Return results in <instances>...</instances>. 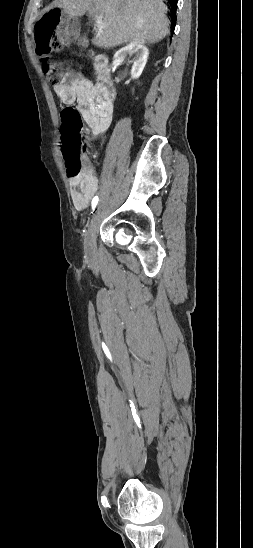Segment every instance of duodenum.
Listing matches in <instances>:
<instances>
[{
    "instance_id": "1",
    "label": "duodenum",
    "mask_w": 253,
    "mask_h": 548,
    "mask_svg": "<svg viewBox=\"0 0 253 548\" xmlns=\"http://www.w3.org/2000/svg\"><path fill=\"white\" fill-rule=\"evenodd\" d=\"M94 70L97 78V88L107 98L113 99L115 96V85L111 77L108 57L97 55L93 60Z\"/></svg>"
}]
</instances>
